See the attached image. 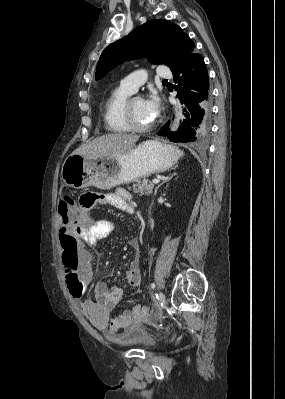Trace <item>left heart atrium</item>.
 Returning a JSON list of instances; mask_svg holds the SVG:
<instances>
[{
	"label": "left heart atrium",
	"mask_w": 285,
	"mask_h": 399,
	"mask_svg": "<svg viewBox=\"0 0 285 399\" xmlns=\"http://www.w3.org/2000/svg\"><path fill=\"white\" fill-rule=\"evenodd\" d=\"M144 108L150 119L154 120L160 114V101L154 94L143 100Z\"/></svg>",
	"instance_id": "1"
}]
</instances>
